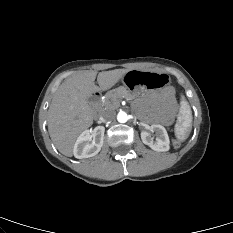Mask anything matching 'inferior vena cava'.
<instances>
[{
	"label": "inferior vena cava",
	"instance_id": "obj_1",
	"mask_svg": "<svg viewBox=\"0 0 233 233\" xmlns=\"http://www.w3.org/2000/svg\"><path fill=\"white\" fill-rule=\"evenodd\" d=\"M115 117V113L111 110L104 111L100 117L101 122L112 121Z\"/></svg>",
	"mask_w": 233,
	"mask_h": 233
}]
</instances>
